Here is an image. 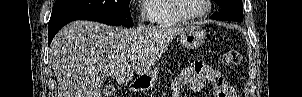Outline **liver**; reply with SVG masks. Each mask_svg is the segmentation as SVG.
<instances>
[{
    "label": "liver",
    "instance_id": "6515ba94",
    "mask_svg": "<svg viewBox=\"0 0 302 97\" xmlns=\"http://www.w3.org/2000/svg\"><path fill=\"white\" fill-rule=\"evenodd\" d=\"M185 27L178 25L113 28L93 21H73L50 45L58 97H101L104 76L119 84L144 75ZM135 56L132 65L129 57Z\"/></svg>",
    "mask_w": 302,
    "mask_h": 97
}]
</instances>
